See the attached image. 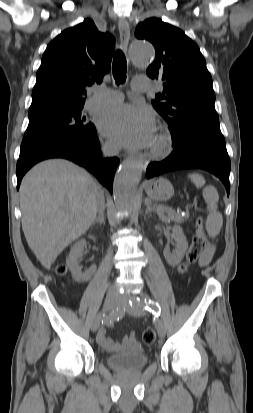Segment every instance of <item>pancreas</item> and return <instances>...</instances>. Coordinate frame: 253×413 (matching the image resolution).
I'll list each match as a JSON object with an SVG mask.
<instances>
[{"instance_id":"cf45deb5","label":"pancreas","mask_w":253,"mask_h":413,"mask_svg":"<svg viewBox=\"0 0 253 413\" xmlns=\"http://www.w3.org/2000/svg\"><path fill=\"white\" fill-rule=\"evenodd\" d=\"M159 209H161L162 211H164L167 214V218L169 220H172L174 222L180 223L183 220V217L179 214H177L173 209L171 208H167L165 206H159Z\"/></svg>"}]
</instances>
